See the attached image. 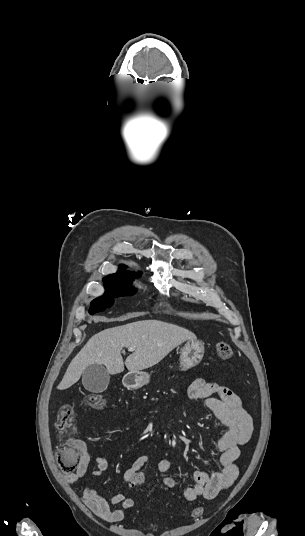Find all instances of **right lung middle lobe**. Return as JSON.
Returning a JSON list of instances; mask_svg holds the SVG:
<instances>
[{"instance_id":"dd1d6c3e","label":"right lung middle lobe","mask_w":305,"mask_h":536,"mask_svg":"<svg viewBox=\"0 0 305 536\" xmlns=\"http://www.w3.org/2000/svg\"><path fill=\"white\" fill-rule=\"evenodd\" d=\"M131 281L126 282H110V281H104V286L106 288V295L97 298L91 302V306L89 308V313L94 314L97 312L104 311L106 308H110L113 303L115 297L119 296H125V295H133L136 293V289L133 287H130L129 284Z\"/></svg>"}]
</instances>
